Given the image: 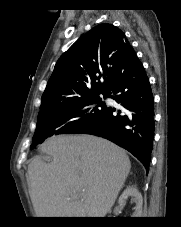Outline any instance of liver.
I'll return each instance as SVG.
<instances>
[{
	"label": "liver",
	"instance_id": "liver-1",
	"mask_svg": "<svg viewBox=\"0 0 181 227\" xmlns=\"http://www.w3.org/2000/svg\"><path fill=\"white\" fill-rule=\"evenodd\" d=\"M28 166L30 197L37 217H104L131 169L125 150L92 135L49 138Z\"/></svg>",
	"mask_w": 181,
	"mask_h": 227
}]
</instances>
